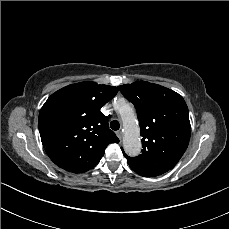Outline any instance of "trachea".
<instances>
[{"label": "trachea", "mask_w": 229, "mask_h": 229, "mask_svg": "<svg viewBox=\"0 0 229 229\" xmlns=\"http://www.w3.org/2000/svg\"><path fill=\"white\" fill-rule=\"evenodd\" d=\"M110 128L114 131H117L120 128V123L117 120H113L110 123Z\"/></svg>", "instance_id": "trachea-1"}]
</instances>
